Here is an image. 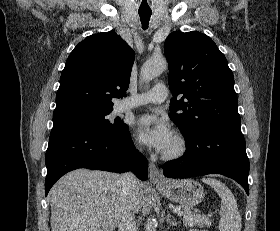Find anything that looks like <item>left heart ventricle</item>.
<instances>
[{
    "mask_svg": "<svg viewBox=\"0 0 280 231\" xmlns=\"http://www.w3.org/2000/svg\"><path fill=\"white\" fill-rule=\"evenodd\" d=\"M172 146H173V144L170 146V148H169L168 150H170V149L172 148ZM168 150H167V151H168Z\"/></svg>",
    "mask_w": 280,
    "mask_h": 231,
    "instance_id": "b2bd125f",
    "label": "left heart ventricle"
}]
</instances>
